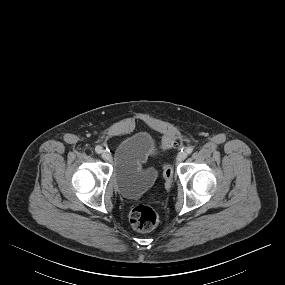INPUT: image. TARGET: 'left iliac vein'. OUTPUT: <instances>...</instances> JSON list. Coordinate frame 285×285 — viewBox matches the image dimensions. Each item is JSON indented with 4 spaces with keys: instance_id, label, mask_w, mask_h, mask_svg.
<instances>
[{
    "instance_id": "4c4485c4",
    "label": "left iliac vein",
    "mask_w": 285,
    "mask_h": 285,
    "mask_svg": "<svg viewBox=\"0 0 285 285\" xmlns=\"http://www.w3.org/2000/svg\"><path fill=\"white\" fill-rule=\"evenodd\" d=\"M186 157H187V153L185 151L184 152H180L177 155V160L179 162H182V161H184L186 159Z\"/></svg>"
}]
</instances>
